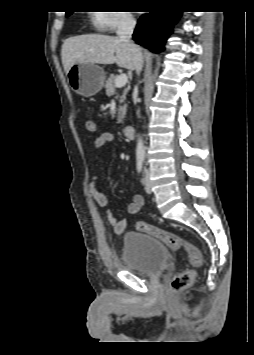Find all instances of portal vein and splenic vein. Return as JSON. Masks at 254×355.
Wrapping results in <instances>:
<instances>
[{
    "label": "portal vein and splenic vein",
    "instance_id": "1",
    "mask_svg": "<svg viewBox=\"0 0 254 355\" xmlns=\"http://www.w3.org/2000/svg\"><path fill=\"white\" fill-rule=\"evenodd\" d=\"M127 81H128L127 75L126 74H120L116 78L115 86L117 88L123 87L124 85H126Z\"/></svg>",
    "mask_w": 254,
    "mask_h": 355
}]
</instances>
